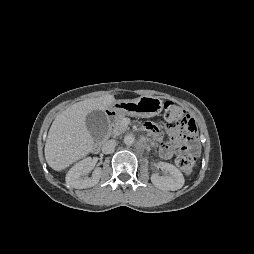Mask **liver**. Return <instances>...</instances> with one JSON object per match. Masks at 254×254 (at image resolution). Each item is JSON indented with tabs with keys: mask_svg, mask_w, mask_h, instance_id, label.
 I'll return each instance as SVG.
<instances>
[{
	"mask_svg": "<svg viewBox=\"0 0 254 254\" xmlns=\"http://www.w3.org/2000/svg\"><path fill=\"white\" fill-rule=\"evenodd\" d=\"M115 101L110 94L89 98L56 116L45 144V158L53 170L61 171L92 151L94 140L86 127V116L93 110L109 109Z\"/></svg>",
	"mask_w": 254,
	"mask_h": 254,
	"instance_id": "6515ba94",
	"label": "liver"
}]
</instances>
